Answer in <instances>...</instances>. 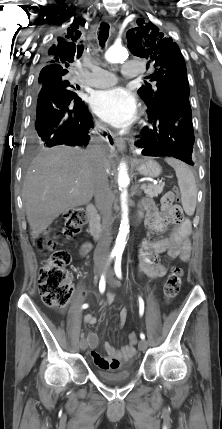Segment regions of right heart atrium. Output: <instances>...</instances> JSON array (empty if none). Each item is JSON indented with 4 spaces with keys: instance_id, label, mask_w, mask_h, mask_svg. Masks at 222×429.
I'll use <instances>...</instances> for the list:
<instances>
[{
    "instance_id": "right-heart-atrium-1",
    "label": "right heart atrium",
    "mask_w": 222,
    "mask_h": 429,
    "mask_svg": "<svg viewBox=\"0 0 222 429\" xmlns=\"http://www.w3.org/2000/svg\"><path fill=\"white\" fill-rule=\"evenodd\" d=\"M95 126L98 127V128H101L102 124L100 122H95Z\"/></svg>"
}]
</instances>
